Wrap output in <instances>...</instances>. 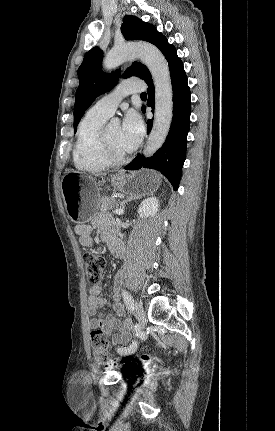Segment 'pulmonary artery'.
<instances>
[{"mask_svg": "<svg viewBox=\"0 0 275 431\" xmlns=\"http://www.w3.org/2000/svg\"><path fill=\"white\" fill-rule=\"evenodd\" d=\"M144 84L135 79L121 82L112 92L100 98L93 108L105 115L111 116L116 110L121 100L131 94L144 91Z\"/></svg>", "mask_w": 275, "mask_h": 431, "instance_id": "1", "label": "pulmonary artery"}]
</instances>
